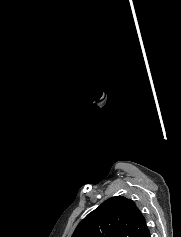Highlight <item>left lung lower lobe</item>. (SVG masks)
Masks as SVG:
<instances>
[{"mask_svg":"<svg viewBox=\"0 0 181 237\" xmlns=\"http://www.w3.org/2000/svg\"><path fill=\"white\" fill-rule=\"evenodd\" d=\"M141 237H150V232H149L148 228L143 232Z\"/></svg>","mask_w":181,"mask_h":237,"instance_id":"obj_1","label":"left lung lower lobe"}]
</instances>
